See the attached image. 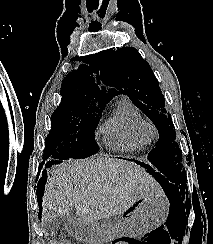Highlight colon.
<instances>
[{"instance_id": "obj_1", "label": "colon", "mask_w": 213, "mask_h": 244, "mask_svg": "<svg viewBox=\"0 0 213 244\" xmlns=\"http://www.w3.org/2000/svg\"><path fill=\"white\" fill-rule=\"evenodd\" d=\"M50 244H72L69 240H64V241H53Z\"/></svg>"}]
</instances>
